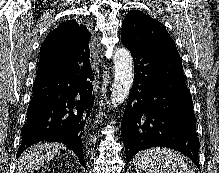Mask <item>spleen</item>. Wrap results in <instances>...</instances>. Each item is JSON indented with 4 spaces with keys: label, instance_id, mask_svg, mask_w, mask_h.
<instances>
[{
    "label": "spleen",
    "instance_id": "spleen-1",
    "mask_svg": "<svg viewBox=\"0 0 219 173\" xmlns=\"http://www.w3.org/2000/svg\"><path fill=\"white\" fill-rule=\"evenodd\" d=\"M133 163L137 173H195L178 152L151 148L136 154Z\"/></svg>",
    "mask_w": 219,
    "mask_h": 173
}]
</instances>
